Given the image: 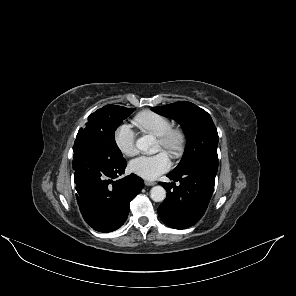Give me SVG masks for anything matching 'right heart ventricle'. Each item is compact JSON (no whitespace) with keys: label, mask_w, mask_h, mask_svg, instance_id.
<instances>
[{"label":"right heart ventricle","mask_w":296,"mask_h":296,"mask_svg":"<svg viewBox=\"0 0 296 296\" xmlns=\"http://www.w3.org/2000/svg\"><path fill=\"white\" fill-rule=\"evenodd\" d=\"M133 124L143 133L159 137L172 127L170 119L162 114L143 111L136 115Z\"/></svg>","instance_id":"e07e8e85"}]
</instances>
